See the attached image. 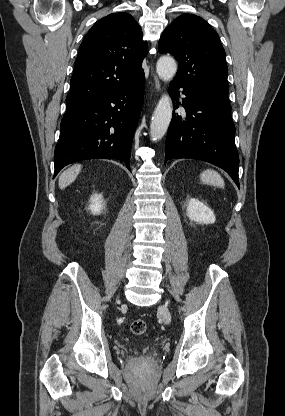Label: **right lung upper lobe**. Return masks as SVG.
Instances as JSON below:
<instances>
[{"instance_id": "1", "label": "right lung upper lobe", "mask_w": 285, "mask_h": 416, "mask_svg": "<svg viewBox=\"0 0 285 416\" xmlns=\"http://www.w3.org/2000/svg\"><path fill=\"white\" fill-rule=\"evenodd\" d=\"M142 37L139 24L124 12L96 22L80 45L67 108L106 98L144 77L148 48Z\"/></svg>"}]
</instances>
